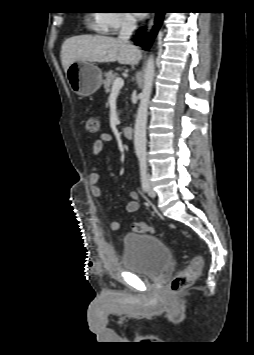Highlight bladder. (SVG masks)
I'll return each mask as SVG.
<instances>
[{"label": "bladder", "instance_id": "bladder-1", "mask_svg": "<svg viewBox=\"0 0 254 355\" xmlns=\"http://www.w3.org/2000/svg\"><path fill=\"white\" fill-rule=\"evenodd\" d=\"M123 267L154 280L169 267L170 251L160 239L143 234H126L123 239Z\"/></svg>", "mask_w": 254, "mask_h": 355}]
</instances>
